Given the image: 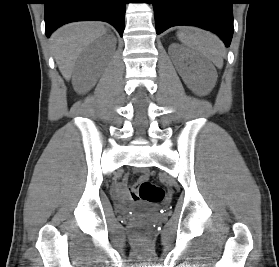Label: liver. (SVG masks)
I'll list each match as a JSON object with an SVG mask.
<instances>
[{
    "instance_id": "1",
    "label": "liver",
    "mask_w": 279,
    "mask_h": 267,
    "mask_svg": "<svg viewBox=\"0 0 279 267\" xmlns=\"http://www.w3.org/2000/svg\"><path fill=\"white\" fill-rule=\"evenodd\" d=\"M105 33L102 23L86 21L65 25L52 34L54 58L66 80L71 78L75 62L83 50Z\"/></svg>"
}]
</instances>
